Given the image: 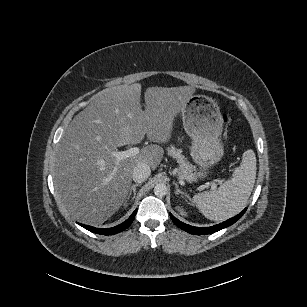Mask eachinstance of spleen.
Here are the masks:
<instances>
[{
  "label": "spleen",
  "mask_w": 307,
  "mask_h": 307,
  "mask_svg": "<svg viewBox=\"0 0 307 307\" xmlns=\"http://www.w3.org/2000/svg\"><path fill=\"white\" fill-rule=\"evenodd\" d=\"M256 156L249 149L243 153L242 162L232 178L220 185L218 190L198 193L192 203L208 219L226 220L242 210L246 205L256 179Z\"/></svg>",
  "instance_id": "1"
}]
</instances>
